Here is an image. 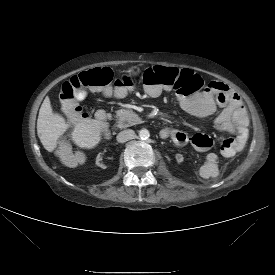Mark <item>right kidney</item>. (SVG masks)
Returning a JSON list of instances; mask_svg holds the SVG:
<instances>
[{
  "label": "right kidney",
  "instance_id": "right-kidney-1",
  "mask_svg": "<svg viewBox=\"0 0 275 275\" xmlns=\"http://www.w3.org/2000/svg\"><path fill=\"white\" fill-rule=\"evenodd\" d=\"M96 163L98 164L99 167H102V168H110L111 167V160L110 159H107L105 158V156L102 154V153H99L97 156H96Z\"/></svg>",
  "mask_w": 275,
  "mask_h": 275
}]
</instances>
